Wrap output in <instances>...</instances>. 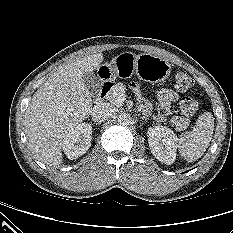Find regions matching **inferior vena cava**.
Here are the masks:
<instances>
[{
  "instance_id": "obj_1",
  "label": "inferior vena cava",
  "mask_w": 233,
  "mask_h": 233,
  "mask_svg": "<svg viewBox=\"0 0 233 233\" xmlns=\"http://www.w3.org/2000/svg\"><path fill=\"white\" fill-rule=\"evenodd\" d=\"M113 115V109L108 103H100L92 109L91 116L94 122L101 123Z\"/></svg>"
}]
</instances>
